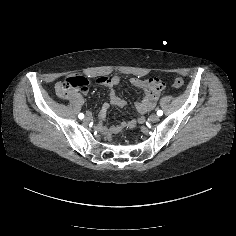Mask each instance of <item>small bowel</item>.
<instances>
[{"label":"small bowel","instance_id":"1","mask_svg":"<svg viewBox=\"0 0 236 236\" xmlns=\"http://www.w3.org/2000/svg\"><path fill=\"white\" fill-rule=\"evenodd\" d=\"M106 80V81H105ZM111 80H113L115 83H118L119 82V79L118 78H112ZM111 80H107L106 78L104 79H100L99 81L103 82V83H107ZM140 81L138 80H133V83L135 85H137ZM70 100L72 102H78L80 103L82 101V97L81 95L79 94H74V95H70L69 96ZM156 98H157V95L155 94L154 97L152 99H150L144 107L142 108H139V112L141 114H145L146 112H148L155 104V101H156ZM110 99H111V103L114 104V105H118V106H123L125 104V102L123 100H121L120 98H118L115 94V92L113 90H111L110 92ZM102 115H104V112L102 113ZM137 121L134 120L132 122H130L129 126L130 127H134L136 125Z\"/></svg>","mask_w":236,"mask_h":236}]
</instances>
